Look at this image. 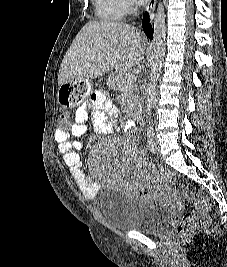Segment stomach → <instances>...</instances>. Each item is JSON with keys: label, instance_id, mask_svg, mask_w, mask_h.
Returning <instances> with one entry per match:
<instances>
[{"label": "stomach", "instance_id": "0dacf381", "mask_svg": "<svg viewBox=\"0 0 227 267\" xmlns=\"http://www.w3.org/2000/svg\"><path fill=\"white\" fill-rule=\"evenodd\" d=\"M91 87L89 78L67 77V82H62L57 92L56 101H60L61 107H78L82 99L90 95Z\"/></svg>", "mask_w": 227, "mask_h": 267}]
</instances>
